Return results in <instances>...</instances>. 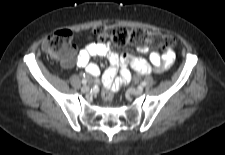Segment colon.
Listing matches in <instances>:
<instances>
[{"label": "colon", "mask_w": 225, "mask_h": 155, "mask_svg": "<svg viewBox=\"0 0 225 155\" xmlns=\"http://www.w3.org/2000/svg\"><path fill=\"white\" fill-rule=\"evenodd\" d=\"M94 34L99 40H110L117 46L133 44L145 46L150 44L162 50H169L174 46L175 40L169 35L147 29H129L119 24L100 25L94 29ZM72 32L66 29L58 30L43 42V49L53 58L63 62H72L74 45L71 43ZM103 102H112V89L105 87L101 94Z\"/></svg>", "instance_id": "1"}]
</instances>
